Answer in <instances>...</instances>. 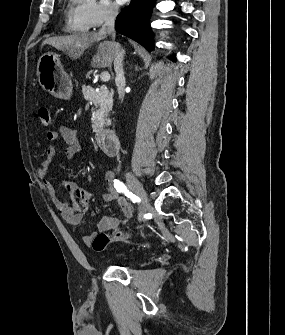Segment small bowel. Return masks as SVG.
<instances>
[{
	"instance_id": "c3829d8e",
	"label": "small bowel",
	"mask_w": 285,
	"mask_h": 335,
	"mask_svg": "<svg viewBox=\"0 0 285 335\" xmlns=\"http://www.w3.org/2000/svg\"><path fill=\"white\" fill-rule=\"evenodd\" d=\"M46 139L49 142L61 140L67 144L65 155L68 159L75 157L82 151V146L78 140L75 131L69 126H60L56 130H51L47 133ZM45 160L40 164L37 174L42 181L43 187L50 196L54 206L58 210L61 217L71 226L78 227L81 225L84 215L90 210L91 195L85 190L79 188L74 181H64L62 190L71 195L77 201V208L71 206L63 200L56 191L51 182L47 179V173L56 156V148L50 145L46 149ZM105 179L108 185L107 191L100 196L103 202L116 200L121 208L122 217L104 216L97 225V232L84 234L82 240L85 244H91L93 237L97 233L108 232L116 229L118 226L133 217V209L128 201L123 198L114 187V178L111 171L105 172Z\"/></svg>"
}]
</instances>
